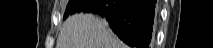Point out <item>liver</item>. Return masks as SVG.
<instances>
[{"instance_id": "obj_1", "label": "liver", "mask_w": 213, "mask_h": 48, "mask_svg": "<svg viewBox=\"0 0 213 48\" xmlns=\"http://www.w3.org/2000/svg\"><path fill=\"white\" fill-rule=\"evenodd\" d=\"M56 48H126L108 24L92 14H75L63 24Z\"/></svg>"}]
</instances>
